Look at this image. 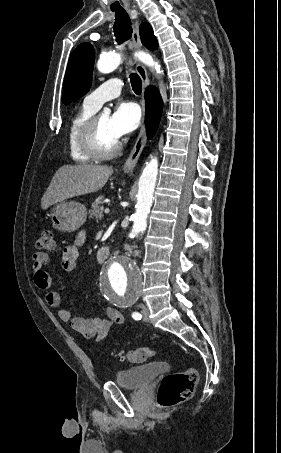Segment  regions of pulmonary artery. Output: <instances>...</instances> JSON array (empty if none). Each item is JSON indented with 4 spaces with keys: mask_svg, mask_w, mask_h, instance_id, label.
Listing matches in <instances>:
<instances>
[{
    "mask_svg": "<svg viewBox=\"0 0 281 453\" xmlns=\"http://www.w3.org/2000/svg\"><path fill=\"white\" fill-rule=\"evenodd\" d=\"M112 88L108 92H101L103 89ZM122 89V81L118 78H111L108 81L99 85V87L87 96L89 104L99 109L106 101L116 98L120 95Z\"/></svg>",
    "mask_w": 281,
    "mask_h": 453,
    "instance_id": "obj_1",
    "label": "pulmonary artery"
}]
</instances>
